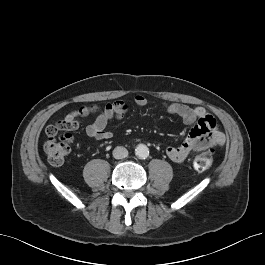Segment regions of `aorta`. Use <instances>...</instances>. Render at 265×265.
I'll use <instances>...</instances> for the list:
<instances>
[{
  "label": "aorta",
  "mask_w": 265,
  "mask_h": 265,
  "mask_svg": "<svg viewBox=\"0 0 265 265\" xmlns=\"http://www.w3.org/2000/svg\"><path fill=\"white\" fill-rule=\"evenodd\" d=\"M135 154L140 159H146L149 155V149L145 144H139L135 149Z\"/></svg>",
  "instance_id": "762f6f07"
}]
</instances>
